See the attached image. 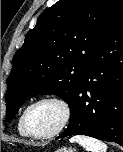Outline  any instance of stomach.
I'll return each mask as SVG.
<instances>
[{"instance_id": "stomach-1", "label": "stomach", "mask_w": 123, "mask_h": 152, "mask_svg": "<svg viewBox=\"0 0 123 152\" xmlns=\"http://www.w3.org/2000/svg\"><path fill=\"white\" fill-rule=\"evenodd\" d=\"M56 152H76L75 149L68 148V147H62L58 149Z\"/></svg>"}]
</instances>
